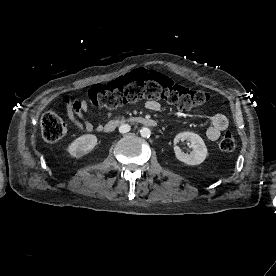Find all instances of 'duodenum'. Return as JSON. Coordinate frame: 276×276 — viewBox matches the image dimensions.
Returning a JSON list of instances; mask_svg holds the SVG:
<instances>
[{"label": "duodenum", "instance_id": "obj_1", "mask_svg": "<svg viewBox=\"0 0 276 276\" xmlns=\"http://www.w3.org/2000/svg\"><path fill=\"white\" fill-rule=\"evenodd\" d=\"M124 123H131L137 125H143L147 127H155L157 122L151 118L143 117V116H131L126 118H117L107 122L104 127L103 131L106 133L113 132L119 125Z\"/></svg>", "mask_w": 276, "mask_h": 276}]
</instances>
